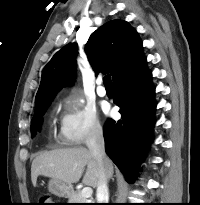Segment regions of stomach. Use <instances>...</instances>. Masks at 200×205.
<instances>
[{"label": "stomach", "mask_w": 200, "mask_h": 205, "mask_svg": "<svg viewBox=\"0 0 200 205\" xmlns=\"http://www.w3.org/2000/svg\"><path fill=\"white\" fill-rule=\"evenodd\" d=\"M49 191L58 197H69L72 193V186L58 179H51L48 183Z\"/></svg>", "instance_id": "1"}]
</instances>
